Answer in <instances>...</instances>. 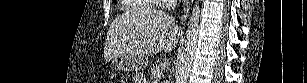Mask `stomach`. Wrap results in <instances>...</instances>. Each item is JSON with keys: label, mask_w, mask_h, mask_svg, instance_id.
<instances>
[{"label": "stomach", "mask_w": 307, "mask_h": 83, "mask_svg": "<svg viewBox=\"0 0 307 83\" xmlns=\"http://www.w3.org/2000/svg\"><path fill=\"white\" fill-rule=\"evenodd\" d=\"M147 59L144 56L117 55L113 58L112 64L117 70L138 71L146 67Z\"/></svg>", "instance_id": "stomach-1"}]
</instances>
